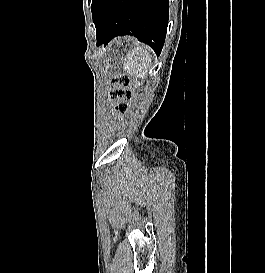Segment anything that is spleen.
I'll return each mask as SVG.
<instances>
[{
    "mask_svg": "<svg viewBox=\"0 0 265 273\" xmlns=\"http://www.w3.org/2000/svg\"><path fill=\"white\" fill-rule=\"evenodd\" d=\"M151 55L148 47L137 45L129 55L128 71L137 77H144L148 73Z\"/></svg>",
    "mask_w": 265,
    "mask_h": 273,
    "instance_id": "obj_1",
    "label": "spleen"
}]
</instances>
